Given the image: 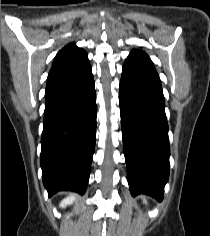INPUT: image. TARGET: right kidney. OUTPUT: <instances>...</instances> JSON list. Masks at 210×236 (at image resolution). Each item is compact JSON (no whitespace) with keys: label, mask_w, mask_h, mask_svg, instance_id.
Listing matches in <instances>:
<instances>
[{"label":"right kidney","mask_w":210,"mask_h":236,"mask_svg":"<svg viewBox=\"0 0 210 236\" xmlns=\"http://www.w3.org/2000/svg\"><path fill=\"white\" fill-rule=\"evenodd\" d=\"M76 200V196L75 195H70L68 197H66L61 203H60V207L64 208L67 205H71L74 201Z\"/></svg>","instance_id":"obj_1"}]
</instances>
